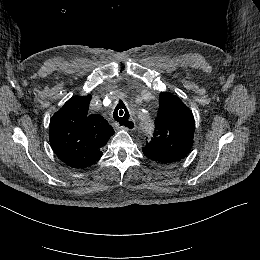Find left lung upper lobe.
<instances>
[{
	"label": "left lung upper lobe",
	"instance_id": "1",
	"mask_svg": "<svg viewBox=\"0 0 260 260\" xmlns=\"http://www.w3.org/2000/svg\"><path fill=\"white\" fill-rule=\"evenodd\" d=\"M155 131L143 147L144 155L160 165H173L183 160L191 150L194 117L191 110L176 96L163 92L159 97Z\"/></svg>",
	"mask_w": 260,
	"mask_h": 260
}]
</instances>
